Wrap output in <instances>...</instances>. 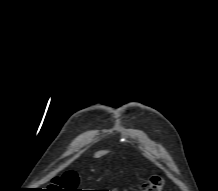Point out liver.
Here are the masks:
<instances>
[{"instance_id": "1", "label": "liver", "mask_w": 218, "mask_h": 191, "mask_svg": "<svg viewBox=\"0 0 218 191\" xmlns=\"http://www.w3.org/2000/svg\"><path fill=\"white\" fill-rule=\"evenodd\" d=\"M104 154H106V151H99L95 154V157H101Z\"/></svg>"}]
</instances>
